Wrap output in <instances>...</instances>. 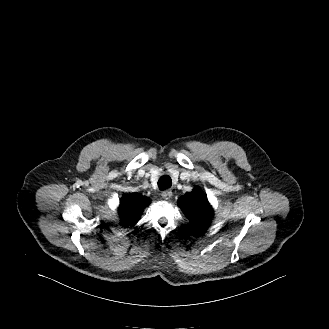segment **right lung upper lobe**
<instances>
[{
	"instance_id": "obj_1",
	"label": "right lung upper lobe",
	"mask_w": 329,
	"mask_h": 329,
	"mask_svg": "<svg viewBox=\"0 0 329 329\" xmlns=\"http://www.w3.org/2000/svg\"><path fill=\"white\" fill-rule=\"evenodd\" d=\"M150 200L140 194L133 193L125 195L124 198L120 200L119 214L122 224L125 227L133 226L136 224L142 213V210L148 206Z\"/></svg>"
}]
</instances>
